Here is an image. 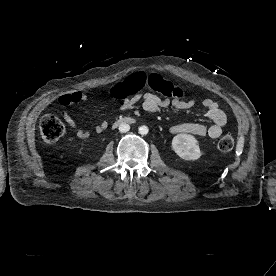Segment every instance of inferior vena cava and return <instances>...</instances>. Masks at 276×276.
Here are the masks:
<instances>
[{
	"instance_id": "1",
	"label": "inferior vena cava",
	"mask_w": 276,
	"mask_h": 276,
	"mask_svg": "<svg viewBox=\"0 0 276 276\" xmlns=\"http://www.w3.org/2000/svg\"><path fill=\"white\" fill-rule=\"evenodd\" d=\"M129 130H130V126H129L128 124H126V123H121V124L119 125V131H120L121 133L128 132Z\"/></svg>"
}]
</instances>
